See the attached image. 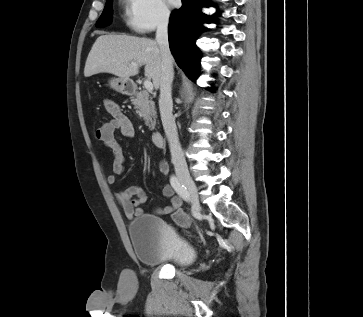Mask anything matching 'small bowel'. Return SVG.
I'll return each instance as SVG.
<instances>
[{"label":"small bowel","mask_w":363,"mask_h":317,"mask_svg":"<svg viewBox=\"0 0 363 317\" xmlns=\"http://www.w3.org/2000/svg\"><path fill=\"white\" fill-rule=\"evenodd\" d=\"M105 108L111 115L112 119L101 125L95 132V136L108 148L112 150L113 164L111 174L107 177V182L110 185L115 184L116 177L124 171L125 157L121 145L115 138V132L119 131L123 137L131 138L134 136V126L131 120L124 114L119 105L112 101L106 100ZM159 170L162 175L167 176L169 169L165 161L159 163ZM163 195L171 199L170 205L155 210L156 214L167 215L180 210L182 200L175 195L174 188L166 184L163 188ZM114 197L120 205L122 211L128 218L143 215L144 210L142 205L147 201L148 197L139 186H130L122 191L114 192Z\"/></svg>","instance_id":"c3829d8e"}]
</instances>
